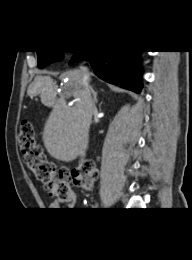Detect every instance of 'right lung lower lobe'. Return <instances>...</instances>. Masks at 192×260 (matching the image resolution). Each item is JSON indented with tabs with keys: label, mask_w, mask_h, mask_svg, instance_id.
Listing matches in <instances>:
<instances>
[{
	"label": "right lung lower lobe",
	"mask_w": 192,
	"mask_h": 260,
	"mask_svg": "<svg viewBox=\"0 0 192 260\" xmlns=\"http://www.w3.org/2000/svg\"><path fill=\"white\" fill-rule=\"evenodd\" d=\"M142 51H76L71 62L87 60L101 79L140 93Z\"/></svg>",
	"instance_id": "1"
}]
</instances>
